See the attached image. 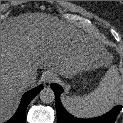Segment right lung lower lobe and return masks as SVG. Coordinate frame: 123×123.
<instances>
[{
  "label": "right lung lower lobe",
  "instance_id": "right-lung-lower-lobe-1",
  "mask_svg": "<svg viewBox=\"0 0 123 123\" xmlns=\"http://www.w3.org/2000/svg\"><path fill=\"white\" fill-rule=\"evenodd\" d=\"M43 85H39L38 87L26 92L22 96V100L20 103V106L15 113V115L6 123H26L25 122V114H26V108L30 101L43 89Z\"/></svg>",
  "mask_w": 123,
  "mask_h": 123
}]
</instances>
